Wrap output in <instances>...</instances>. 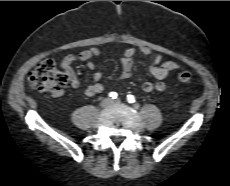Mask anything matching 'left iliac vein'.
Returning a JSON list of instances; mask_svg holds the SVG:
<instances>
[{
  "label": "left iliac vein",
  "mask_w": 230,
  "mask_h": 186,
  "mask_svg": "<svg viewBox=\"0 0 230 186\" xmlns=\"http://www.w3.org/2000/svg\"><path fill=\"white\" fill-rule=\"evenodd\" d=\"M121 103V100L120 99H116V100H113L112 101V104H120Z\"/></svg>",
  "instance_id": "1"
}]
</instances>
